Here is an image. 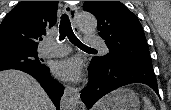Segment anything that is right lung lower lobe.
<instances>
[{
	"label": "right lung lower lobe",
	"mask_w": 171,
	"mask_h": 110,
	"mask_svg": "<svg viewBox=\"0 0 171 110\" xmlns=\"http://www.w3.org/2000/svg\"><path fill=\"white\" fill-rule=\"evenodd\" d=\"M18 70L24 71L33 76L44 88L56 108H60L59 102L64 93V87L51 77L48 67L45 66L44 68L40 69L28 67Z\"/></svg>",
	"instance_id": "obj_1"
}]
</instances>
